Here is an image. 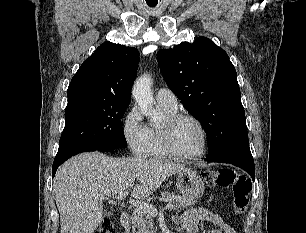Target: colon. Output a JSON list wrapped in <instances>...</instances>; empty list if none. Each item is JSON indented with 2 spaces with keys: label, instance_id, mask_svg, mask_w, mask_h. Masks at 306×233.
Listing matches in <instances>:
<instances>
[{
  "label": "colon",
  "instance_id": "obj_1",
  "mask_svg": "<svg viewBox=\"0 0 306 233\" xmlns=\"http://www.w3.org/2000/svg\"><path fill=\"white\" fill-rule=\"evenodd\" d=\"M204 179L209 185L232 190L235 214L242 215L247 211L252 184L246 175L233 168H219L206 171ZM94 233H115L114 221L104 219Z\"/></svg>",
  "mask_w": 306,
  "mask_h": 233
}]
</instances>
